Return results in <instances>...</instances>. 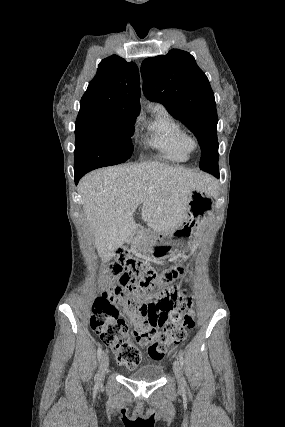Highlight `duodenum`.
I'll return each instance as SVG.
<instances>
[{"label": "duodenum", "instance_id": "410a0bca", "mask_svg": "<svg viewBox=\"0 0 285 427\" xmlns=\"http://www.w3.org/2000/svg\"><path fill=\"white\" fill-rule=\"evenodd\" d=\"M135 240L134 244L140 245L145 237V229L142 226H136L133 229Z\"/></svg>", "mask_w": 285, "mask_h": 427}]
</instances>
